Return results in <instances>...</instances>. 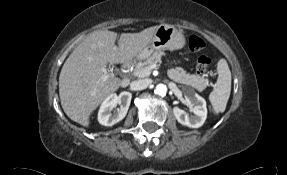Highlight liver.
Listing matches in <instances>:
<instances>
[{
	"instance_id": "1",
	"label": "liver",
	"mask_w": 287,
	"mask_h": 175,
	"mask_svg": "<svg viewBox=\"0 0 287 175\" xmlns=\"http://www.w3.org/2000/svg\"><path fill=\"white\" fill-rule=\"evenodd\" d=\"M157 27L122 33L118 46L117 33L94 31L73 50L59 76L61 105L71 120L89 126L91 113L122 83L107 73L106 65L124 63L138 56L150 44Z\"/></svg>"
}]
</instances>
